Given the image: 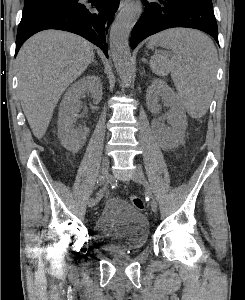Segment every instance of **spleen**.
<instances>
[{"mask_svg":"<svg viewBox=\"0 0 245 300\" xmlns=\"http://www.w3.org/2000/svg\"><path fill=\"white\" fill-rule=\"evenodd\" d=\"M149 45L172 50L173 56L155 54L150 68L158 76L171 73L179 99L193 118L202 117L213 95L217 50L203 33L190 29H169L149 39Z\"/></svg>","mask_w":245,"mask_h":300,"instance_id":"1","label":"spleen"}]
</instances>
